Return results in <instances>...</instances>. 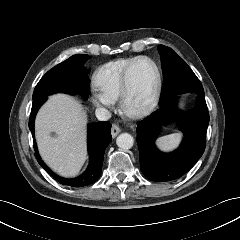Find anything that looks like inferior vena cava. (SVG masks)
Listing matches in <instances>:
<instances>
[{
	"mask_svg": "<svg viewBox=\"0 0 240 240\" xmlns=\"http://www.w3.org/2000/svg\"><path fill=\"white\" fill-rule=\"evenodd\" d=\"M95 115L100 121H107L111 118V113L105 108H97Z\"/></svg>",
	"mask_w": 240,
	"mask_h": 240,
	"instance_id": "obj_1",
	"label": "inferior vena cava"
}]
</instances>
